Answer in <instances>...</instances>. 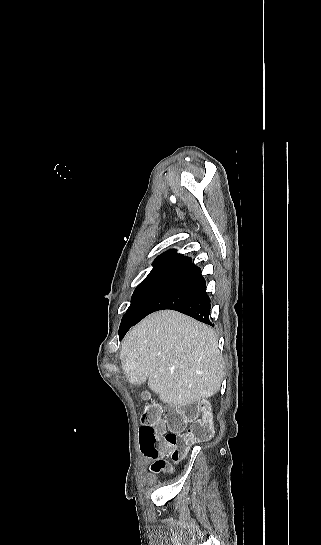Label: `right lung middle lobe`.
<instances>
[{
    "label": "right lung middle lobe",
    "instance_id": "obj_1",
    "mask_svg": "<svg viewBox=\"0 0 321 545\" xmlns=\"http://www.w3.org/2000/svg\"><path fill=\"white\" fill-rule=\"evenodd\" d=\"M174 271L168 268H153L135 289L131 304L123 316L122 322L134 319Z\"/></svg>",
    "mask_w": 321,
    "mask_h": 545
}]
</instances>
